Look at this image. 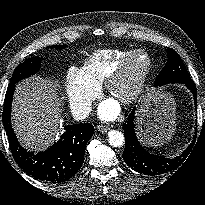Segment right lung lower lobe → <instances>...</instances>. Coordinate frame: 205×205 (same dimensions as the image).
Listing matches in <instances>:
<instances>
[{"label":"right lung lower lobe","mask_w":205,"mask_h":205,"mask_svg":"<svg viewBox=\"0 0 205 205\" xmlns=\"http://www.w3.org/2000/svg\"><path fill=\"white\" fill-rule=\"evenodd\" d=\"M15 85L6 91L2 121L16 163L35 179L50 183H63L72 178L83 164L84 152L94 127L74 124L64 127L58 142L48 150L34 154L20 146L11 126V103Z\"/></svg>","instance_id":"1"}]
</instances>
